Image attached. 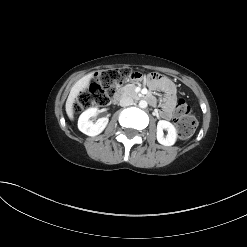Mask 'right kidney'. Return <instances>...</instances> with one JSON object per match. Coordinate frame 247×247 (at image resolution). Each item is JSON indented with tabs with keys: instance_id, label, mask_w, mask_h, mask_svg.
Wrapping results in <instances>:
<instances>
[{
	"instance_id": "obj_1",
	"label": "right kidney",
	"mask_w": 247,
	"mask_h": 247,
	"mask_svg": "<svg viewBox=\"0 0 247 247\" xmlns=\"http://www.w3.org/2000/svg\"><path fill=\"white\" fill-rule=\"evenodd\" d=\"M97 111V108H89L80 115L78 129L82 133L88 136H96L105 129L109 121L107 117L100 118L95 123L90 120L91 117L97 115Z\"/></svg>"
}]
</instances>
